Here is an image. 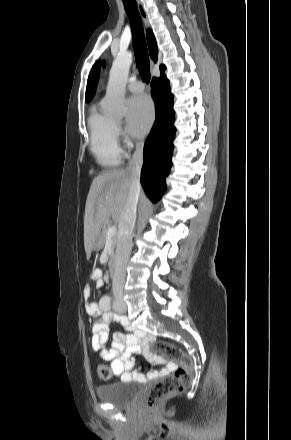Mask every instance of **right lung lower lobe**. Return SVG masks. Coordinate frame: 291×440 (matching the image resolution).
Segmentation results:
<instances>
[{
  "instance_id": "1",
  "label": "right lung lower lobe",
  "mask_w": 291,
  "mask_h": 440,
  "mask_svg": "<svg viewBox=\"0 0 291 440\" xmlns=\"http://www.w3.org/2000/svg\"><path fill=\"white\" fill-rule=\"evenodd\" d=\"M151 93L155 102L156 119L144 145L141 184L147 196L152 201H158L166 189L165 178L172 166L176 132L173 126V95L164 71L160 78L152 79Z\"/></svg>"
}]
</instances>
